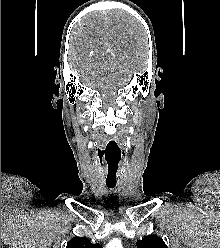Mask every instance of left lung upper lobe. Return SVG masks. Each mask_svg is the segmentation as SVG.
Returning <instances> with one entry per match:
<instances>
[{"mask_svg":"<svg viewBox=\"0 0 220 248\" xmlns=\"http://www.w3.org/2000/svg\"><path fill=\"white\" fill-rule=\"evenodd\" d=\"M138 248H168L164 241L157 236H147L137 241Z\"/></svg>","mask_w":220,"mask_h":248,"instance_id":"5c2ea615","label":"left lung upper lobe"}]
</instances>
